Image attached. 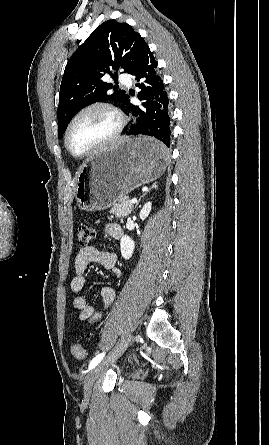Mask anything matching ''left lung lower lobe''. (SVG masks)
I'll list each match as a JSON object with an SVG mask.
<instances>
[{
    "label": "left lung lower lobe",
    "instance_id": "left-lung-lower-lobe-1",
    "mask_svg": "<svg viewBox=\"0 0 269 445\" xmlns=\"http://www.w3.org/2000/svg\"><path fill=\"white\" fill-rule=\"evenodd\" d=\"M157 65V61L148 48L130 73L137 82H140L136 86L141 88L137 96L143 101L142 106L131 104L129 95L124 102L135 116L126 134L153 137L154 143L145 147V151L151 155L167 153L171 137L169 99L163 80L158 75Z\"/></svg>",
    "mask_w": 269,
    "mask_h": 445
}]
</instances>
